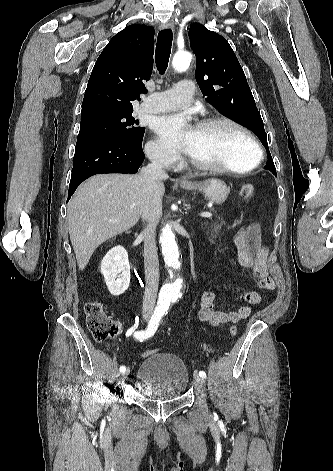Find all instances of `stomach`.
<instances>
[{"label": "stomach", "instance_id": "obj_1", "mask_svg": "<svg viewBox=\"0 0 333 471\" xmlns=\"http://www.w3.org/2000/svg\"><path fill=\"white\" fill-rule=\"evenodd\" d=\"M180 186L185 190H199L205 194V197L215 204H222L226 201L230 188L225 182L219 179H208L204 182H184Z\"/></svg>", "mask_w": 333, "mask_h": 471}]
</instances>
